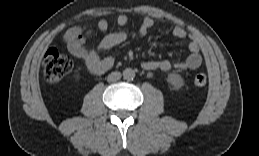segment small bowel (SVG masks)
<instances>
[{"label": "small bowel", "mask_w": 259, "mask_h": 156, "mask_svg": "<svg viewBox=\"0 0 259 156\" xmlns=\"http://www.w3.org/2000/svg\"><path fill=\"white\" fill-rule=\"evenodd\" d=\"M129 21L126 14L117 17L119 26H125ZM155 20L151 17H145L140 27V34L144 35L155 24ZM109 23L105 19H101L97 23L100 31H106ZM91 32L79 26L69 28L63 35V40L69 52L77 59L83 61L87 68L94 74H103L108 71L114 64L111 57H101L100 51L111 49L112 47L126 40L127 35L122 30L107 33L100 41L97 47L87 48L85 46ZM174 37L178 39H189V55L183 61L171 62L169 60H150L142 63V68L147 71H184L197 69L202 64L201 48L197 39L181 27H175L172 30Z\"/></svg>", "instance_id": "c3829d8e"}]
</instances>
